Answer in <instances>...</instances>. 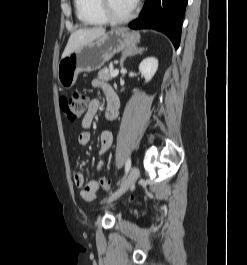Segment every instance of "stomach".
<instances>
[{
	"label": "stomach",
	"mask_w": 247,
	"mask_h": 265,
	"mask_svg": "<svg viewBox=\"0 0 247 265\" xmlns=\"http://www.w3.org/2000/svg\"><path fill=\"white\" fill-rule=\"evenodd\" d=\"M138 43V34L129 32L125 28L104 33L59 61L57 66L59 84L63 88L70 89L76 83L79 73L100 69L116 53L127 48H135Z\"/></svg>",
	"instance_id": "stomach-1"
}]
</instances>
